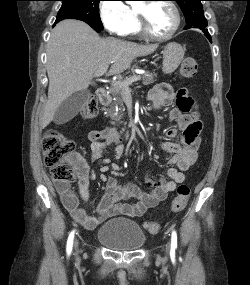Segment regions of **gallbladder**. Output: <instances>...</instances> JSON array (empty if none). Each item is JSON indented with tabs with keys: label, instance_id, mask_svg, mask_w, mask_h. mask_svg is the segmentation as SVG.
<instances>
[{
	"label": "gallbladder",
	"instance_id": "obj_1",
	"mask_svg": "<svg viewBox=\"0 0 250 285\" xmlns=\"http://www.w3.org/2000/svg\"><path fill=\"white\" fill-rule=\"evenodd\" d=\"M90 96L91 92L87 89L73 93L57 109L54 122L63 124L73 119L87 104Z\"/></svg>",
	"mask_w": 250,
	"mask_h": 285
}]
</instances>
